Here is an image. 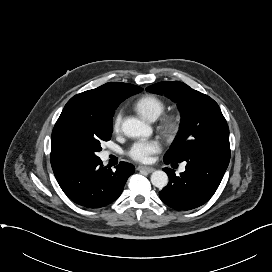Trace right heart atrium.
<instances>
[{
	"mask_svg": "<svg viewBox=\"0 0 272 272\" xmlns=\"http://www.w3.org/2000/svg\"><path fill=\"white\" fill-rule=\"evenodd\" d=\"M122 123V113L118 112L113 119L112 129L114 132H118L120 130Z\"/></svg>",
	"mask_w": 272,
	"mask_h": 272,
	"instance_id": "obj_1",
	"label": "right heart atrium"
}]
</instances>
